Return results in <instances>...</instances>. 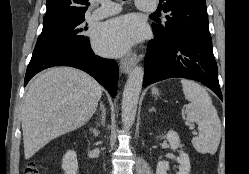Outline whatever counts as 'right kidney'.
<instances>
[{
	"label": "right kidney",
	"mask_w": 249,
	"mask_h": 174,
	"mask_svg": "<svg viewBox=\"0 0 249 174\" xmlns=\"http://www.w3.org/2000/svg\"><path fill=\"white\" fill-rule=\"evenodd\" d=\"M62 169L65 174H77L78 162L77 155L75 151H68L62 161Z\"/></svg>",
	"instance_id": "obj_1"
}]
</instances>
